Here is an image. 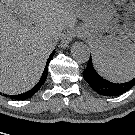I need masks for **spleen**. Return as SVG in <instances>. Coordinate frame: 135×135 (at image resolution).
Listing matches in <instances>:
<instances>
[{
  "mask_svg": "<svg viewBox=\"0 0 135 135\" xmlns=\"http://www.w3.org/2000/svg\"><path fill=\"white\" fill-rule=\"evenodd\" d=\"M98 72L113 82H127L135 77V56L117 63H107L94 57Z\"/></svg>",
  "mask_w": 135,
  "mask_h": 135,
  "instance_id": "3e777b00",
  "label": "spleen"
}]
</instances>
